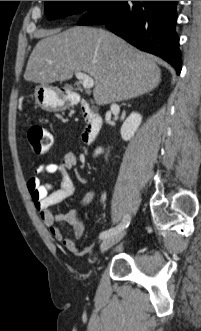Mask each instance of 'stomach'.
Returning <instances> with one entry per match:
<instances>
[{
	"label": "stomach",
	"instance_id": "1",
	"mask_svg": "<svg viewBox=\"0 0 201 331\" xmlns=\"http://www.w3.org/2000/svg\"><path fill=\"white\" fill-rule=\"evenodd\" d=\"M35 103L47 111H58L66 108L67 103L51 87L39 85L34 91Z\"/></svg>",
	"mask_w": 201,
	"mask_h": 331
}]
</instances>
